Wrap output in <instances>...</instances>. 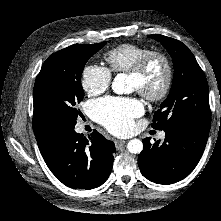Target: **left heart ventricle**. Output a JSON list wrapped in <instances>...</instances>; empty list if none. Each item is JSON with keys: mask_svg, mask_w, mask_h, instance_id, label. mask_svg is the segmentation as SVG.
I'll list each match as a JSON object with an SVG mask.
<instances>
[{"mask_svg": "<svg viewBox=\"0 0 221 221\" xmlns=\"http://www.w3.org/2000/svg\"><path fill=\"white\" fill-rule=\"evenodd\" d=\"M163 72L164 69L161 62H156L152 65V67L148 70L142 79L129 77L130 84L133 89H137L139 86H143L147 90L154 91L160 86L162 82Z\"/></svg>", "mask_w": 221, "mask_h": 221, "instance_id": "left-heart-ventricle-1", "label": "left heart ventricle"}]
</instances>
